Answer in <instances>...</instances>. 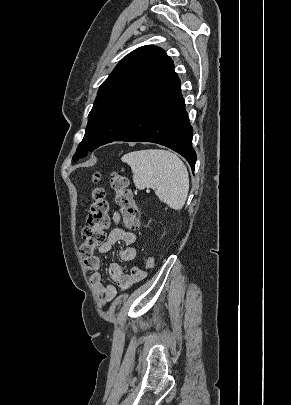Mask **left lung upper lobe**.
<instances>
[{
    "instance_id": "5c2ea615",
    "label": "left lung upper lobe",
    "mask_w": 291,
    "mask_h": 405,
    "mask_svg": "<svg viewBox=\"0 0 291 405\" xmlns=\"http://www.w3.org/2000/svg\"><path fill=\"white\" fill-rule=\"evenodd\" d=\"M172 64L161 48L152 45L126 55L100 86L73 161L121 136L143 97Z\"/></svg>"
}]
</instances>
